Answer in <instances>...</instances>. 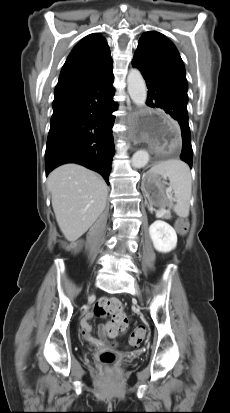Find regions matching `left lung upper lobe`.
I'll return each instance as SVG.
<instances>
[{"instance_id": "5c2ea615", "label": "left lung upper lobe", "mask_w": 230, "mask_h": 413, "mask_svg": "<svg viewBox=\"0 0 230 413\" xmlns=\"http://www.w3.org/2000/svg\"><path fill=\"white\" fill-rule=\"evenodd\" d=\"M134 56L144 58L165 72L181 89L188 86L183 61L174 44L157 31L145 32Z\"/></svg>"}]
</instances>
